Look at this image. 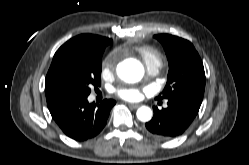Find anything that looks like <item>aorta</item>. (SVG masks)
Wrapping results in <instances>:
<instances>
[{
  "label": "aorta",
  "mask_w": 249,
  "mask_h": 165,
  "mask_svg": "<svg viewBox=\"0 0 249 165\" xmlns=\"http://www.w3.org/2000/svg\"><path fill=\"white\" fill-rule=\"evenodd\" d=\"M117 74L125 82L135 83L143 77L144 69L139 61L127 59L118 65ZM136 115L140 121L147 122L152 118V110L147 106H142L137 110Z\"/></svg>",
  "instance_id": "762f6f07"
}]
</instances>
